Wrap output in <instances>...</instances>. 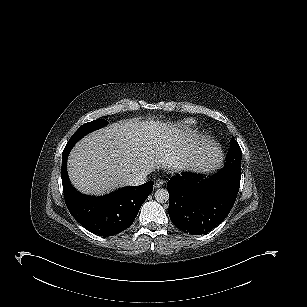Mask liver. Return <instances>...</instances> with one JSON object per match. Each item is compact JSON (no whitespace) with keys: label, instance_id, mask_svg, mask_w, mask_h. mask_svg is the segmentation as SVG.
<instances>
[{"label":"liver","instance_id":"6515ba94","mask_svg":"<svg viewBox=\"0 0 307 307\" xmlns=\"http://www.w3.org/2000/svg\"><path fill=\"white\" fill-rule=\"evenodd\" d=\"M194 138L177 132L173 135L158 123L133 119L112 123L74 146L68 157V175L80 192L103 195L128 186L133 176L169 164L174 154L188 152L190 166L196 171L214 168L213 150L208 145L199 147Z\"/></svg>","mask_w":307,"mask_h":307}]
</instances>
